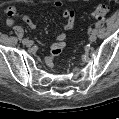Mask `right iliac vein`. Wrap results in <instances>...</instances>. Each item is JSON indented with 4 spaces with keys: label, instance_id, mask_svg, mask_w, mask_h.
I'll return each mask as SVG.
<instances>
[{
    "label": "right iliac vein",
    "instance_id": "1",
    "mask_svg": "<svg viewBox=\"0 0 119 119\" xmlns=\"http://www.w3.org/2000/svg\"><path fill=\"white\" fill-rule=\"evenodd\" d=\"M27 47H31L33 45V42L30 41V40H27L25 43H24Z\"/></svg>",
    "mask_w": 119,
    "mask_h": 119
}]
</instances>
